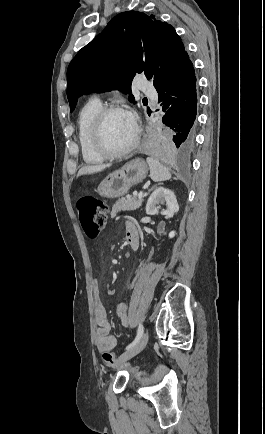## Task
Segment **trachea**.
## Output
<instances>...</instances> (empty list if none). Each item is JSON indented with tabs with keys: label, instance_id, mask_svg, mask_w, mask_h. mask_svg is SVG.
I'll list each match as a JSON object with an SVG mask.
<instances>
[{
	"label": "trachea",
	"instance_id": "3493384b",
	"mask_svg": "<svg viewBox=\"0 0 265 434\" xmlns=\"http://www.w3.org/2000/svg\"><path fill=\"white\" fill-rule=\"evenodd\" d=\"M143 100H146L147 101V98L146 97H144V99Z\"/></svg>",
	"mask_w": 265,
	"mask_h": 434
}]
</instances>
